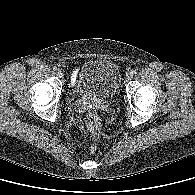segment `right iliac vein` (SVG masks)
I'll use <instances>...</instances> for the list:
<instances>
[{
	"mask_svg": "<svg viewBox=\"0 0 195 195\" xmlns=\"http://www.w3.org/2000/svg\"><path fill=\"white\" fill-rule=\"evenodd\" d=\"M57 75H58V77H60V78H62L63 77V71L62 70H60V69H58V71H57Z\"/></svg>",
	"mask_w": 195,
	"mask_h": 195,
	"instance_id": "1",
	"label": "right iliac vein"
}]
</instances>
